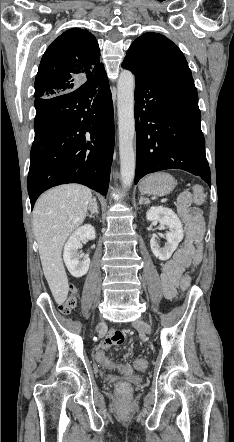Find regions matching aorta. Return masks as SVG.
I'll return each mask as SVG.
<instances>
[{
	"label": "aorta",
	"mask_w": 234,
	"mask_h": 442,
	"mask_svg": "<svg viewBox=\"0 0 234 442\" xmlns=\"http://www.w3.org/2000/svg\"><path fill=\"white\" fill-rule=\"evenodd\" d=\"M134 87L131 71H121L117 82V109L119 130L120 172L124 189L130 188L134 180L136 155L134 150Z\"/></svg>",
	"instance_id": "aorta-1"
}]
</instances>
